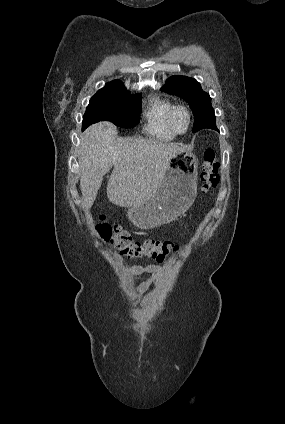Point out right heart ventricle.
Segmentation results:
<instances>
[{
  "label": "right heart ventricle",
  "instance_id": "1",
  "mask_svg": "<svg viewBox=\"0 0 285 424\" xmlns=\"http://www.w3.org/2000/svg\"><path fill=\"white\" fill-rule=\"evenodd\" d=\"M175 104L164 98H155L151 101L146 113L145 130L162 140H171L177 134L172 130L169 116Z\"/></svg>",
  "mask_w": 285,
  "mask_h": 424
}]
</instances>
